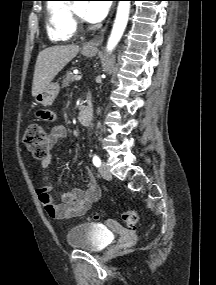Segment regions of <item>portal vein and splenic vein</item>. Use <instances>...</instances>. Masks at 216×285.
Returning a JSON list of instances; mask_svg holds the SVG:
<instances>
[{"mask_svg": "<svg viewBox=\"0 0 216 285\" xmlns=\"http://www.w3.org/2000/svg\"><path fill=\"white\" fill-rule=\"evenodd\" d=\"M81 79H82V76H81V75H76V76H75V80H76V81H80Z\"/></svg>", "mask_w": 216, "mask_h": 285, "instance_id": "portal-vein-and-splenic-vein-1", "label": "portal vein and splenic vein"}]
</instances>
